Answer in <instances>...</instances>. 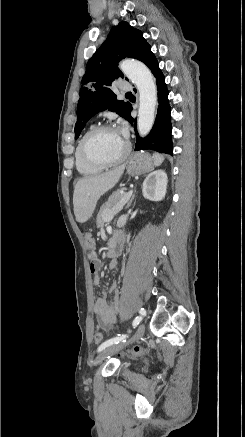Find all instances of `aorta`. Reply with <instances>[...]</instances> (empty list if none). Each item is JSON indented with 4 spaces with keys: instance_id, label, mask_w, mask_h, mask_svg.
Wrapping results in <instances>:
<instances>
[{
    "instance_id": "762f6f07",
    "label": "aorta",
    "mask_w": 245,
    "mask_h": 437,
    "mask_svg": "<svg viewBox=\"0 0 245 437\" xmlns=\"http://www.w3.org/2000/svg\"><path fill=\"white\" fill-rule=\"evenodd\" d=\"M122 72L135 84L139 91L138 132L146 136L153 127L157 104V88L152 73L145 64L134 59L120 63Z\"/></svg>"
}]
</instances>
